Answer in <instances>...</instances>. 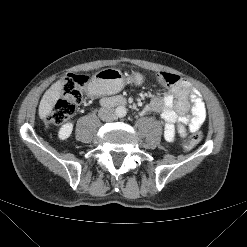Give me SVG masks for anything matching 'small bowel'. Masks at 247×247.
Listing matches in <instances>:
<instances>
[{"label": "small bowel", "instance_id": "c3829d8e", "mask_svg": "<svg viewBox=\"0 0 247 247\" xmlns=\"http://www.w3.org/2000/svg\"><path fill=\"white\" fill-rule=\"evenodd\" d=\"M144 112L160 114L164 122V137L168 142L175 139L177 123L186 124L187 131L193 133L206 118V108L200 94L185 80L164 97H154L145 106Z\"/></svg>", "mask_w": 247, "mask_h": 247}]
</instances>
